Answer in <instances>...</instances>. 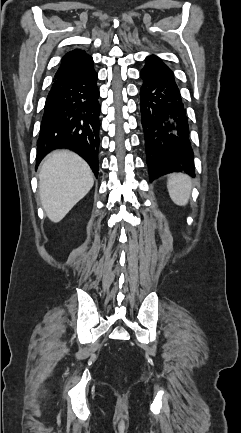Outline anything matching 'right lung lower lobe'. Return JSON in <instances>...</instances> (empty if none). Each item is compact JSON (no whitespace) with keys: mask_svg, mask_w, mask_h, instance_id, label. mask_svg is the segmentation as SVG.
Here are the masks:
<instances>
[{"mask_svg":"<svg viewBox=\"0 0 241 433\" xmlns=\"http://www.w3.org/2000/svg\"><path fill=\"white\" fill-rule=\"evenodd\" d=\"M93 63L55 79L47 96L37 141V165L51 150L67 148L98 174L99 89Z\"/></svg>","mask_w":241,"mask_h":433,"instance_id":"98d812e1","label":"right lung lower lobe"}]
</instances>
